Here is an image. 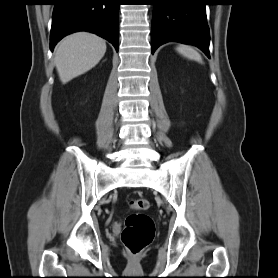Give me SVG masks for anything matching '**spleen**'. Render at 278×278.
Listing matches in <instances>:
<instances>
[{"mask_svg":"<svg viewBox=\"0 0 278 278\" xmlns=\"http://www.w3.org/2000/svg\"><path fill=\"white\" fill-rule=\"evenodd\" d=\"M176 51L190 60H195L199 63H203L201 55L194 48L188 45H179L176 47Z\"/></svg>","mask_w":278,"mask_h":278,"instance_id":"1","label":"spleen"}]
</instances>
